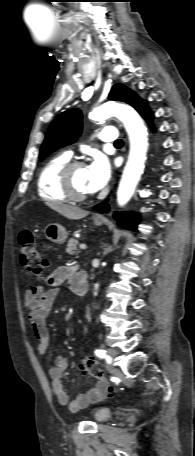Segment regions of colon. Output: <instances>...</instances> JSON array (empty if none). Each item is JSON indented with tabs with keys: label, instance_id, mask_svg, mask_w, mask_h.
Returning a JSON list of instances; mask_svg holds the SVG:
<instances>
[{
	"label": "colon",
	"instance_id": "5ec220e1",
	"mask_svg": "<svg viewBox=\"0 0 195 456\" xmlns=\"http://www.w3.org/2000/svg\"><path fill=\"white\" fill-rule=\"evenodd\" d=\"M19 244L20 262L23 267L36 278H42L47 262L39 250L40 244L36 242L33 233L28 231L22 232L19 236ZM79 370L82 374L98 380H101L104 376L101 365L89 356L81 359ZM114 392L115 389L110 387V395H113Z\"/></svg>",
	"mask_w": 195,
	"mask_h": 456
}]
</instances>
